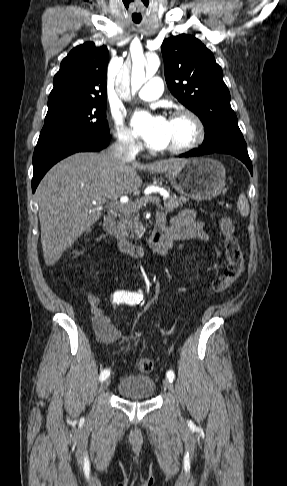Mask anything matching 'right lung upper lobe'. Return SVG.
Returning <instances> with one entry per match:
<instances>
[{"label":"right lung upper lobe","instance_id":"1","mask_svg":"<svg viewBox=\"0 0 287 486\" xmlns=\"http://www.w3.org/2000/svg\"><path fill=\"white\" fill-rule=\"evenodd\" d=\"M109 52L106 46L86 42L70 51L53 80L48 107L90 99H107L106 72Z\"/></svg>","mask_w":287,"mask_h":486}]
</instances>
